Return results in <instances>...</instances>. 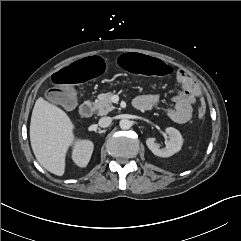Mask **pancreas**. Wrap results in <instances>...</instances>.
Here are the masks:
<instances>
[{
    "label": "pancreas",
    "instance_id": "cf45deb5",
    "mask_svg": "<svg viewBox=\"0 0 241 241\" xmlns=\"http://www.w3.org/2000/svg\"><path fill=\"white\" fill-rule=\"evenodd\" d=\"M114 95L113 92L104 93L98 96L93 103V109L99 115H106L114 109L111 98Z\"/></svg>",
    "mask_w": 241,
    "mask_h": 241
}]
</instances>
